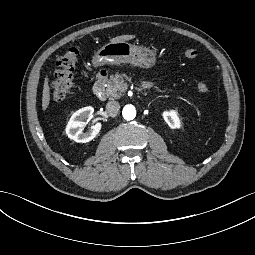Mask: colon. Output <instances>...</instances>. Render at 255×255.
Returning <instances> with one entry per match:
<instances>
[{
  "label": "colon",
  "mask_w": 255,
  "mask_h": 255,
  "mask_svg": "<svg viewBox=\"0 0 255 255\" xmlns=\"http://www.w3.org/2000/svg\"><path fill=\"white\" fill-rule=\"evenodd\" d=\"M183 54L188 59H194L198 52L195 48L184 46ZM79 57V49L72 47L57 59V69L52 82L53 97L56 101H62L70 94L73 87L74 70ZM198 89L201 92L208 91V85L200 82Z\"/></svg>",
  "instance_id": "5ec220e1"
}]
</instances>
